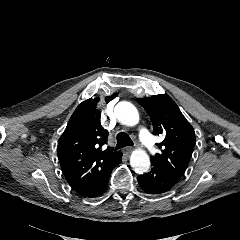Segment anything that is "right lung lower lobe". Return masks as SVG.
Listing matches in <instances>:
<instances>
[{"label": "right lung lower lobe", "instance_id": "98d812e1", "mask_svg": "<svg viewBox=\"0 0 240 240\" xmlns=\"http://www.w3.org/2000/svg\"><path fill=\"white\" fill-rule=\"evenodd\" d=\"M110 174H111V172L100 182V184L92 192H90L85 197L95 198V197H99L100 195H102L107 190L108 179H109Z\"/></svg>", "mask_w": 240, "mask_h": 240}]
</instances>
